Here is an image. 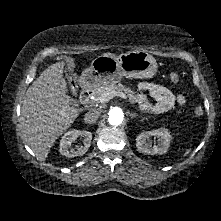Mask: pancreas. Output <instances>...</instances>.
Instances as JSON below:
<instances>
[{"instance_id":"cf45deb5","label":"pancreas","mask_w":221,"mask_h":221,"mask_svg":"<svg viewBox=\"0 0 221 221\" xmlns=\"http://www.w3.org/2000/svg\"><path fill=\"white\" fill-rule=\"evenodd\" d=\"M106 92H110L113 95H116L118 93H125L131 103H137L141 110H145L146 112H149L153 109V106L149 101L147 100L146 95L144 94H135L134 91H132L131 88L126 87L125 85L121 83H112L110 85L101 86L99 87L93 94L95 96V100L99 101V98Z\"/></svg>"}]
</instances>
